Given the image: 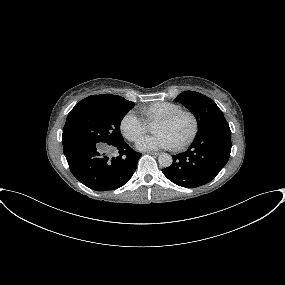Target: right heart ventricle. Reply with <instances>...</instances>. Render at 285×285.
Listing matches in <instances>:
<instances>
[{"instance_id": "obj_1", "label": "right heart ventricle", "mask_w": 285, "mask_h": 285, "mask_svg": "<svg viewBox=\"0 0 285 285\" xmlns=\"http://www.w3.org/2000/svg\"><path fill=\"white\" fill-rule=\"evenodd\" d=\"M182 110V107L172 102H156L141 109V113L149 123L155 122L158 118Z\"/></svg>"}]
</instances>
